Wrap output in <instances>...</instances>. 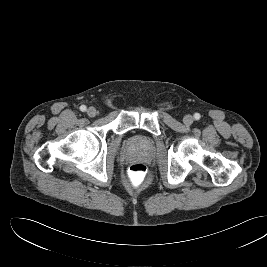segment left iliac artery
<instances>
[{
	"label": "left iliac artery",
	"mask_w": 267,
	"mask_h": 267,
	"mask_svg": "<svg viewBox=\"0 0 267 267\" xmlns=\"http://www.w3.org/2000/svg\"><path fill=\"white\" fill-rule=\"evenodd\" d=\"M200 117H201V115H200L199 113H195V114H194V118H195V120H199Z\"/></svg>",
	"instance_id": "left-iliac-artery-1"
}]
</instances>
